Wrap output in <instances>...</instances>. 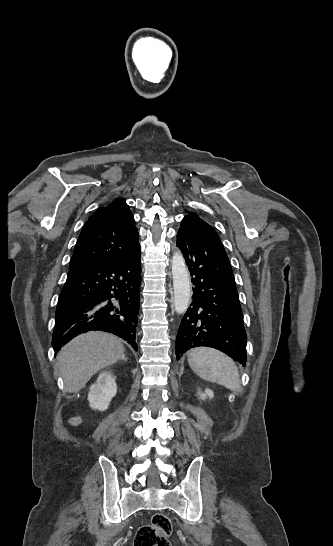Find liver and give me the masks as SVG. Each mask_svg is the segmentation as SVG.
Listing matches in <instances>:
<instances>
[{"label": "liver", "instance_id": "6515ba94", "mask_svg": "<svg viewBox=\"0 0 333 546\" xmlns=\"http://www.w3.org/2000/svg\"><path fill=\"white\" fill-rule=\"evenodd\" d=\"M124 351L122 342L108 333L90 332L71 340L57 358L65 391L79 392L95 373L122 359Z\"/></svg>", "mask_w": 333, "mask_h": 546}]
</instances>
